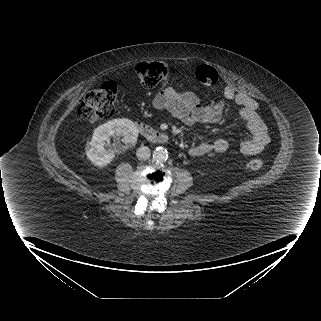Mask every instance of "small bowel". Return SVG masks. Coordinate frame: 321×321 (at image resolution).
<instances>
[{
  "instance_id": "obj_1",
  "label": "small bowel",
  "mask_w": 321,
  "mask_h": 321,
  "mask_svg": "<svg viewBox=\"0 0 321 321\" xmlns=\"http://www.w3.org/2000/svg\"><path fill=\"white\" fill-rule=\"evenodd\" d=\"M224 96L226 100L240 106V116L246 121L250 131V136L241 141L240 151L245 155L260 153L269 142V132L258 112V102L248 94L237 92L232 87L225 89ZM154 105L157 109L166 111L169 116L188 126L218 123L223 118L225 110L223 102L205 106L193 92L173 88L160 91L154 98ZM227 150V140L218 138L192 146L189 153L192 156L201 157L211 152L222 155Z\"/></svg>"
}]
</instances>
